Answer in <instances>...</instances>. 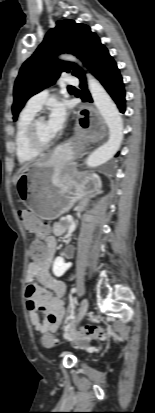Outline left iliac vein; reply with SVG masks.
Returning <instances> with one entry per match:
<instances>
[{"label":"left iliac vein","instance_id":"left-iliac-vein-1","mask_svg":"<svg viewBox=\"0 0 155 413\" xmlns=\"http://www.w3.org/2000/svg\"><path fill=\"white\" fill-rule=\"evenodd\" d=\"M88 305H89V303H88L87 298H84L81 301L77 319L71 325V330L74 329L78 325V323L82 320V318L86 315L87 310H88Z\"/></svg>","mask_w":155,"mask_h":413}]
</instances>
